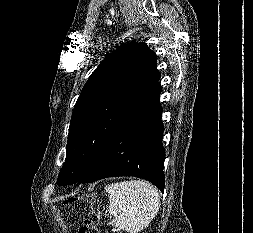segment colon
<instances>
[{
    "label": "colon",
    "mask_w": 253,
    "mask_h": 233,
    "mask_svg": "<svg viewBox=\"0 0 253 233\" xmlns=\"http://www.w3.org/2000/svg\"><path fill=\"white\" fill-rule=\"evenodd\" d=\"M86 199H89L90 210L86 214L84 219V224L79 229L78 233H99L98 223H99V210L100 202L95 199L93 195L86 196ZM80 198L77 196H72L64 201V204H71L79 201Z\"/></svg>",
    "instance_id": "obj_1"
}]
</instances>
